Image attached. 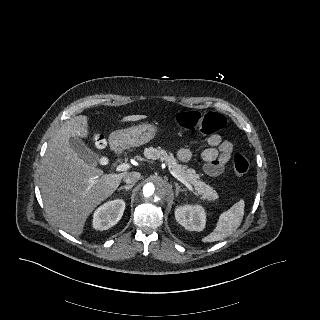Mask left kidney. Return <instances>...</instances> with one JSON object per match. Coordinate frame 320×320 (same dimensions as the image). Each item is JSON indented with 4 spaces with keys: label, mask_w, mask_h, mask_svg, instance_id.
<instances>
[{
    "label": "left kidney",
    "mask_w": 320,
    "mask_h": 320,
    "mask_svg": "<svg viewBox=\"0 0 320 320\" xmlns=\"http://www.w3.org/2000/svg\"><path fill=\"white\" fill-rule=\"evenodd\" d=\"M205 218V211L200 205H185L175 210L176 221L190 231H202L205 227Z\"/></svg>",
    "instance_id": "obj_1"
}]
</instances>
